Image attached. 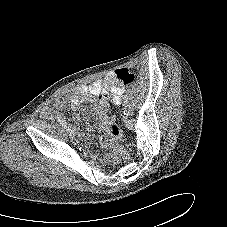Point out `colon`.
Wrapping results in <instances>:
<instances>
[{"label":"colon","mask_w":227,"mask_h":227,"mask_svg":"<svg viewBox=\"0 0 227 227\" xmlns=\"http://www.w3.org/2000/svg\"><path fill=\"white\" fill-rule=\"evenodd\" d=\"M134 80V76L130 71L127 69H120L116 72V85L118 87L128 86ZM111 105L110 100L108 99H101L98 101L97 106L101 111H106L109 109ZM110 124L113 126L111 127V134H112V141L111 146L112 149L117 157H119L123 161H127L129 159V153L126 149L122 147L123 141V133L120 127L117 124L118 119L115 116L110 117L109 119Z\"/></svg>","instance_id":"colon-1"}]
</instances>
